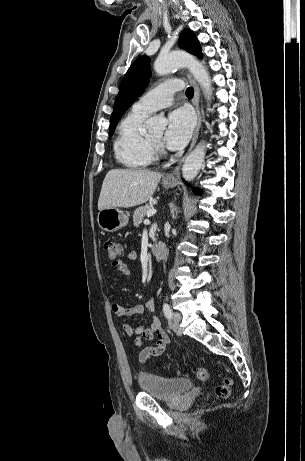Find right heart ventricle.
<instances>
[{
	"label": "right heart ventricle",
	"mask_w": 305,
	"mask_h": 461,
	"mask_svg": "<svg viewBox=\"0 0 305 461\" xmlns=\"http://www.w3.org/2000/svg\"><path fill=\"white\" fill-rule=\"evenodd\" d=\"M147 115L132 110L119 124L114 153L117 160L127 168L142 169L155 160L144 129Z\"/></svg>",
	"instance_id": "right-heart-ventricle-1"
}]
</instances>
